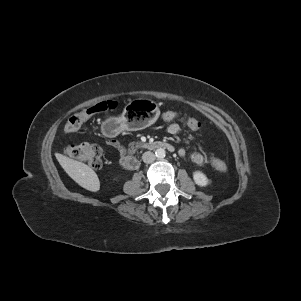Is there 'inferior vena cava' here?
<instances>
[{
	"label": "inferior vena cava",
	"mask_w": 301,
	"mask_h": 301,
	"mask_svg": "<svg viewBox=\"0 0 301 301\" xmlns=\"http://www.w3.org/2000/svg\"><path fill=\"white\" fill-rule=\"evenodd\" d=\"M142 160H143V162L150 164V163L154 162L155 155H154V153L147 151V152L143 153Z\"/></svg>",
	"instance_id": "obj_1"
}]
</instances>
